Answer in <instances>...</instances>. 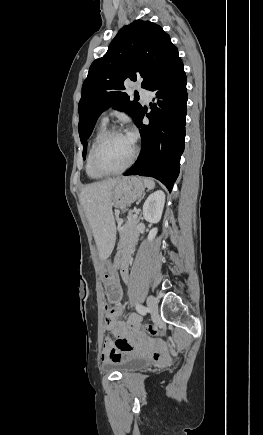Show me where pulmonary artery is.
<instances>
[{
    "instance_id": "obj_1",
    "label": "pulmonary artery",
    "mask_w": 263,
    "mask_h": 435,
    "mask_svg": "<svg viewBox=\"0 0 263 435\" xmlns=\"http://www.w3.org/2000/svg\"><path fill=\"white\" fill-rule=\"evenodd\" d=\"M138 90H139V92L141 94V97H142L143 101L145 103H148L149 102V92L146 89L141 88V87H139ZM110 115H112L111 111H105L102 114V122H105V123L108 122V119H109Z\"/></svg>"
}]
</instances>
